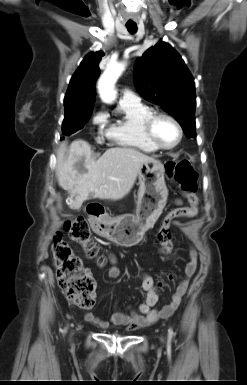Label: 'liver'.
<instances>
[{"label": "liver", "instance_id": "6515ba94", "mask_svg": "<svg viewBox=\"0 0 247 385\" xmlns=\"http://www.w3.org/2000/svg\"><path fill=\"white\" fill-rule=\"evenodd\" d=\"M152 158L133 148H110L95 159L90 145L75 140L68 147L64 141L57 152L56 176L68 191L71 209H79L90 194L94 198L119 200L132 189L144 162ZM114 178V179H112Z\"/></svg>", "mask_w": 247, "mask_h": 385}]
</instances>
